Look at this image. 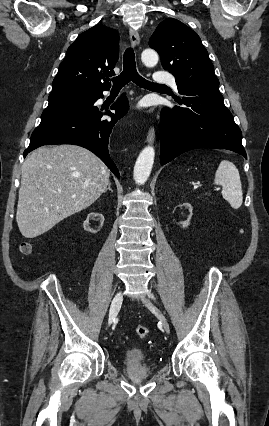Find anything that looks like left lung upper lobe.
<instances>
[{"label": "left lung upper lobe", "mask_w": 269, "mask_h": 426, "mask_svg": "<svg viewBox=\"0 0 269 426\" xmlns=\"http://www.w3.org/2000/svg\"><path fill=\"white\" fill-rule=\"evenodd\" d=\"M149 46L159 53L162 67L175 76L179 92L219 86L200 37L179 20L162 21L151 36Z\"/></svg>", "instance_id": "1"}]
</instances>
